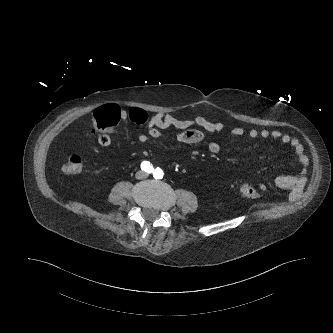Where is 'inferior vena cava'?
<instances>
[{
    "label": "inferior vena cava",
    "instance_id": "602c4592",
    "mask_svg": "<svg viewBox=\"0 0 333 333\" xmlns=\"http://www.w3.org/2000/svg\"><path fill=\"white\" fill-rule=\"evenodd\" d=\"M146 176H147V174L146 173H144V172H137V174H136V178L137 179H142V178H146Z\"/></svg>",
    "mask_w": 333,
    "mask_h": 333
}]
</instances>
